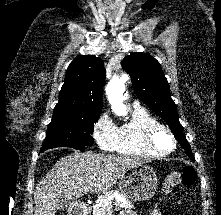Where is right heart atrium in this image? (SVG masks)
Listing matches in <instances>:
<instances>
[{
  "mask_svg": "<svg viewBox=\"0 0 221 215\" xmlns=\"http://www.w3.org/2000/svg\"><path fill=\"white\" fill-rule=\"evenodd\" d=\"M118 126L108 112L102 113L94 123L92 136L103 151H113L117 139Z\"/></svg>",
  "mask_w": 221,
  "mask_h": 215,
  "instance_id": "right-heart-atrium-1",
  "label": "right heart atrium"
}]
</instances>
